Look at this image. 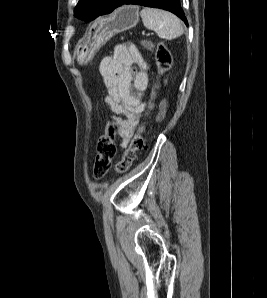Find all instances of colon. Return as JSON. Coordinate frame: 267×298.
Here are the masks:
<instances>
[{
	"mask_svg": "<svg viewBox=\"0 0 267 298\" xmlns=\"http://www.w3.org/2000/svg\"><path fill=\"white\" fill-rule=\"evenodd\" d=\"M147 46H150L147 44ZM157 63V79L153 84L150 98L146 108V118L150 116L155 107V99L159 87L160 77L167 72L172 64V57L169 50L164 45H158L155 51ZM146 132L145 122L140 125L137 133L130 141L124 151L122 159L118 162L116 170L119 174L128 171L132 165L136 153L144 146V134ZM118 133L113 125H106L105 132L100 136L97 143V152L94 165L95 176L100 178L109 171L116 152V137Z\"/></svg>",
	"mask_w": 267,
	"mask_h": 298,
	"instance_id": "obj_1",
	"label": "colon"
}]
</instances>
